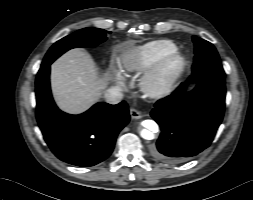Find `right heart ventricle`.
<instances>
[{
	"label": "right heart ventricle",
	"instance_id": "right-heart-ventricle-1",
	"mask_svg": "<svg viewBox=\"0 0 253 200\" xmlns=\"http://www.w3.org/2000/svg\"><path fill=\"white\" fill-rule=\"evenodd\" d=\"M177 50L170 40H154L135 46L124 53L122 67L127 73H139L148 70L161 56Z\"/></svg>",
	"mask_w": 253,
	"mask_h": 200
}]
</instances>
